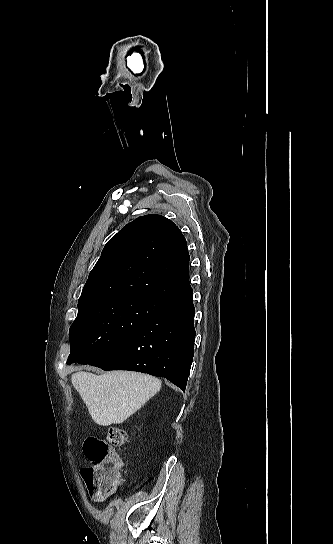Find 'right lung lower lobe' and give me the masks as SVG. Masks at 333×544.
<instances>
[{
  "mask_svg": "<svg viewBox=\"0 0 333 544\" xmlns=\"http://www.w3.org/2000/svg\"><path fill=\"white\" fill-rule=\"evenodd\" d=\"M194 311L192 292L175 298L135 333L79 363L164 377L185 390L194 355Z\"/></svg>",
  "mask_w": 333,
  "mask_h": 544,
  "instance_id": "right-lung-lower-lobe-1",
  "label": "right lung lower lobe"
}]
</instances>
